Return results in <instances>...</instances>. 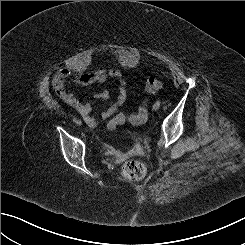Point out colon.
<instances>
[{
  "label": "colon",
  "mask_w": 245,
  "mask_h": 245,
  "mask_svg": "<svg viewBox=\"0 0 245 245\" xmlns=\"http://www.w3.org/2000/svg\"><path fill=\"white\" fill-rule=\"evenodd\" d=\"M163 88V82L156 77H151L147 80L145 85V92L148 94L156 93ZM148 107L145 101H143L136 114L131 115L128 120L133 124H142L148 119ZM126 117L123 115L116 116L109 123V128H114L116 125L124 122ZM121 175L123 178L130 181H140L146 175V167L145 165L138 160H130L127 161L122 169Z\"/></svg>",
  "instance_id": "obj_1"
}]
</instances>
